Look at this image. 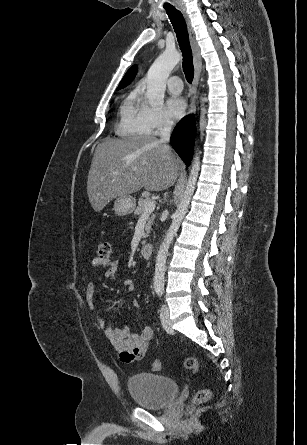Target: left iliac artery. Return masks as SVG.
Segmentation results:
<instances>
[{"label": "left iliac artery", "instance_id": "obj_1", "mask_svg": "<svg viewBox=\"0 0 307 445\" xmlns=\"http://www.w3.org/2000/svg\"><path fill=\"white\" fill-rule=\"evenodd\" d=\"M158 295L161 297L163 292L161 290L157 291Z\"/></svg>", "mask_w": 307, "mask_h": 445}]
</instances>
